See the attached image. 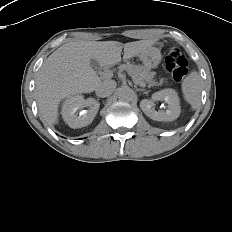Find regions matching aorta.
<instances>
[{
  "label": "aorta",
  "instance_id": "obj_1",
  "mask_svg": "<svg viewBox=\"0 0 232 232\" xmlns=\"http://www.w3.org/2000/svg\"><path fill=\"white\" fill-rule=\"evenodd\" d=\"M134 96V92L129 87H122L118 91V98L123 101H131Z\"/></svg>",
  "mask_w": 232,
  "mask_h": 232
}]
</instances>
